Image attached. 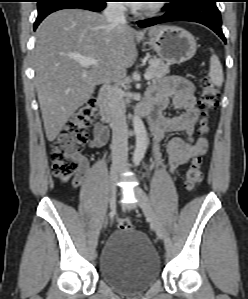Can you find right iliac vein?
I'll return each mask as SVG.
<instances>
[{"label": "right iliac vein", "mask_w": 248, "mask_h": 299, "mask_svg": "<svg viewBox=\"0 0 248 299\" xmlns=\"http://www.w3.org/2000/svg\"><path fill=\"white\" fill-rule=\"evenodd\" d=\"M120 168L117 167V166H114L112 168V171H111V177H110V198H109V209L110 210H113L115 208V205H116V182H117V179H118V170ZM107 224V219L105 221V226Z\"/></svg>", "instance_id": "right-iliac-vein-1"}]
</instances>
